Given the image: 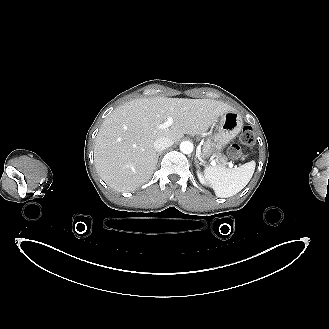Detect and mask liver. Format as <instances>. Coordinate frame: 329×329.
Returning <instances> with one entry per match:
<instances>
[{"mask_svg": "<svg viewBox=\"0 0 329 329\" xmlns=\"http://www.w3.org/2000/svg\"><path fill=\"white\" fill-rule=\"evenodd\" d=\"M234 109L211 99L140 98L118 106L102 123L96 137L97 173L112 189L130 192L149 181L157 164L154 142L184 134L199 135ZM171 128L158 129L168 117Z\"/></svg>", "mask_w": 329, "mask_h": 329, "instance_id": "obj_1", "label": "liver"}]
</instances>
